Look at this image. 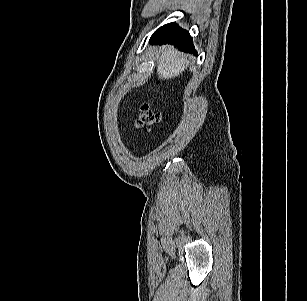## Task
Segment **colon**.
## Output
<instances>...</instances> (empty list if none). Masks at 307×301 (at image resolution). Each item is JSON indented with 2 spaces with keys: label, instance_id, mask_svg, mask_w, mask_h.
I'll use <instances>...</instances> for the list:
<instances>
[{
  "label": "colon",
  "instance_id": "1",
  "mask_svg": "<svg viewBox=\"0 0 307 301\" xmlns=\"http://www.w3.org/2000/svg\"><path fill=\"white\" fill-rule=\"evenodd\" d=\"M160 114L149 106H143L140 110V115L137 124L142 127H150L158 123Z\"/></svg>",
  "mask_w": 307,
  "mask_h": 301
}]
</instances>
